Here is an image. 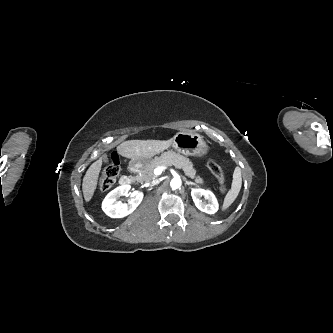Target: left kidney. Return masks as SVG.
<instances>
[{
    "instance_id": "5707ae66",
    "label": "left kidney",
    "mask_w": 333,
    "mask_h": 333,
    "mask_svg": "<svg viewBox=\"0 0 333 333\" xmlns=\"http://www.w3.org/2000/svg\"><path fill=\"white\" fill-rule=\"evenodd\" d=\"M192 199L196 207L207 214H214L217 212L219 205L215 195L210 190H205L201 188H195L191 191ZM202 197L207 200V202L202 201Z\"/></svg>"
}]
</instances>
